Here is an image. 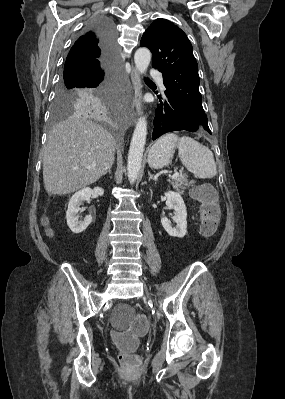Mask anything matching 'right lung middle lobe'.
<instances>
[{"instance_id": "dd1d6c3e", "label": "right lung middle lobe", "mask_w": 285, "mask_h": 399, "mask_svg": "<svg viewBox=\"0 0 285 399\" xmlns=\"http://www.w3.org/2000/svg\"><path fill=\"white\" fill-rule=\"evenodd\" d=\"M100 100L102 107L91 114L107 116L111 112L112 101L110 87L104 92L95 93L94 91L82 88L73 83L61 81L56 89V96L52 111V122L56 123L64 116L74 113H89L91 106L88 102Z\"/></svg>"}]
</instances>
